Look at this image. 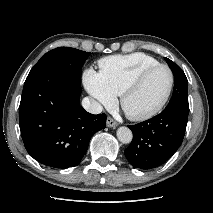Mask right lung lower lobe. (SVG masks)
I'll return each mask as SVG.
<instances>
[{"label": "right lung lower lobe", "mask_w": 213, "mask_h": 213, "mask_svg": "<svg viewBox=\"0 0 213 213\" xmlns=\"http://www.w3.org/2000/svg\"><path fill=\"white\" fill-rule=\"evenodd\" d=\"M80 83L57 70L27 76L19 125L27 152L52 168L77 166L92 135L105 128L106 115H93L79 104Z\"/></svg>", "instance_id": "obj_1"}]
</instances>
